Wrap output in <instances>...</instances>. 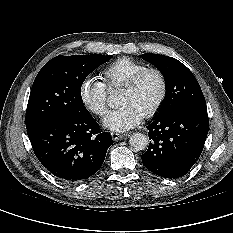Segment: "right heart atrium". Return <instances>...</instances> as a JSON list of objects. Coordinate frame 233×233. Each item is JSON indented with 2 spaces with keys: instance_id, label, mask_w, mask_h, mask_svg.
<instances>
[{
  "instance_id": "obj_1",
  "label": "right heart atrium",
  "mask_w": 233,
  "mask_h": 233,
  "mask_svg": "<svg viewBox=\"0 0 233 233\" xmlns=\"http://www.w3.org/2000/svg\"><path fill=\"white\" fill-rule=\"evenodd\" d=\"M80 98L94 114L103 116L108 112V89L97 77H88L80 85Z\"/></svg>"
}]
</instances>
